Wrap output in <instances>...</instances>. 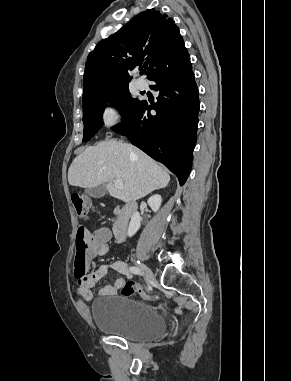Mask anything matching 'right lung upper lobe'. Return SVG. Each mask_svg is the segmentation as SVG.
<instances>
[{"instance_id":"cb5924a9","label":"right lung upper lobe","mask_w":291,"mask_h":381,"mask_svg":"<svg viewBox=\"0 0 291 381\" xmlns=\"http://www.w3.org/2000/svg\"><path fill=\"white\" fill-rule=\"evenodd\" d=\"M184 49L179 28L166 14L154 9L138 14L115 34L100 41L88 55L82 104L109 90L128 86L130 72L143 62L149 79Z\"/></svg>"}]
</instances>
